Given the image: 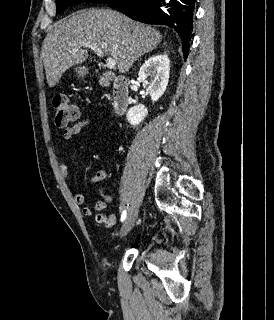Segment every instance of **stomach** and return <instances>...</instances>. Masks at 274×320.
<instances>
[{
	"mask_svg": "<svg viewBox=\"0 0 274 320\" xmlns=\"http://www.w3.org/2000/svg\"><path fill=\"white\" fill-rule=\"evenodd\" d=\"M76 72L78 76H86V74H88V68H78Z\"/></svg>",
	"mask_w": 274,
	"mask_h": 320,
	"instance_id": "0dacf381",
	"label": "stomach"
}]
</instances>
